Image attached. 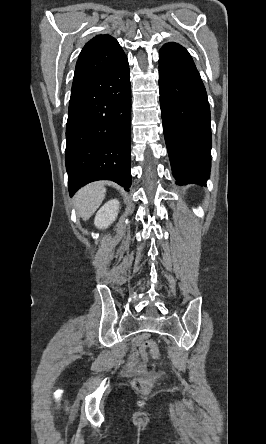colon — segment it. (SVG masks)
Wrapping results in <instances>:
<instances>
[{"instance_id":"obj_1","label":"colon","mask_w":266,"mask_h":444,"mask_svg":"<svg viewBox=\"0 0 266 444\" xmlns=\"http://www.w3.org/2000/svg\"><path fill=\"white\" fill-rule=\"evenodd\" d=\"M140 353L146 359H159V350L156 343L152 340H146L140 345ZM154 384L152 378L138 377L133 380V386L140 392H148Z\"/></svg>"}]
</instances>
